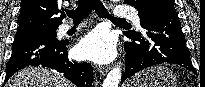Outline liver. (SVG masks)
Instances as JSON below:
<instances>
[{"label":"liver","instance_id":"liver-1","mask_svg":"<svg viewBox=\"0 0 205 87\" xmlns=\"http://www.w3.org/2000/svg\"><path fill=\"white\" fill-rule=\"evenodd\" d=\"M5 87H71V84L53 70L27 67L13 75Z\"/></svg>","mask_w":205,"mask_h":87}]
</instances>
